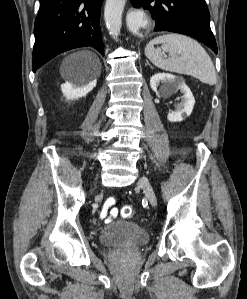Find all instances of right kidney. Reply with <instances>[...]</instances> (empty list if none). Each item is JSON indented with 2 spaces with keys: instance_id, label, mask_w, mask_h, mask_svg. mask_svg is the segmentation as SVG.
Here are the masks:
<instances>
[{
  "instance_id": "1",
  "label": "right kidney",
  "mask_w": 247,
  "mask_h": 299,
  "mask_svg": "<svg viewBox=\"0 0 247 299\" xmlns=\"http://www.w3.org/2000/svg\"><path fill=\"white\" fill-rule=\"evenodd\" d=\"M97 80L94 79L84 85H75L71 83H65L61 85L62 92L68 100L78 99L85 97L96 86Z\"/></svg>"
}]
</instances>
